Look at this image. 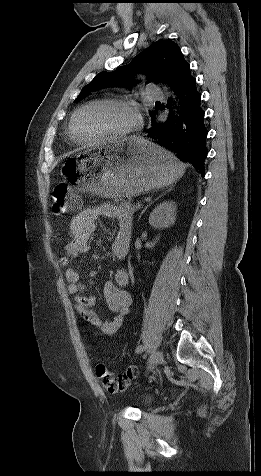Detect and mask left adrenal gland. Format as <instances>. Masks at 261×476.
<instances>
[{
  "label": "left adrenal gland",
  "mask_w": 261,
  "mask_h": 476,
  "mask_svg": "<svg viewBox=\"0 0 261 476\" xmlns=\"http://www.w3.org/2000/svg\"><path fill=\"white\" fill-rule=\"evenodd\" d=\"M170 190H171V189H169L167 192H169ZM165 194H166V193L160 195L157 199H159L161 196H163V195H165ZM157 199H155V200H157ZM152 203H153V202H150L148 205H146V206L144 207V209L141 211V213H140V215H139V219L141 218V216L143 215V213L146 211V209H147Z\"/></svg>",
  "instance_id": "left-adrenal-gland-1"
}]
</instances>
